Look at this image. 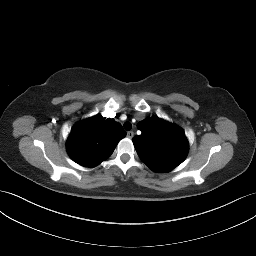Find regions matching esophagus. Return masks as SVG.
<instances>
[{"instance_id": "34e87169", "label": "esophagus", "mask_w": 256, "mask_h": 256, "mask_svg": "<svg viewBox=\"0 0 256 256\" xmlns=\"http://www.w3.org/2000/svg\"><path fill=\"white\" fill-rule=\"evenodd\" d=\"M133 136H134V132L133 131H129V132H127V137L128 138H133Z\"/></svg>"}]
</instances>
